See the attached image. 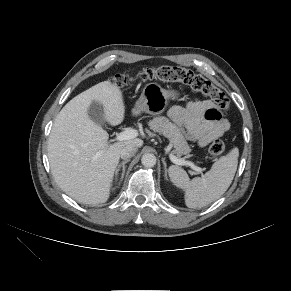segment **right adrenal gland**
Masks as SVG:
<instances>
[{
  "label": "right adrenal gland",
  "mask_w": 291,
  "mask_h": 291,
  "mask_svg": "<svg viewBox=\"0 0 291 291\" xmlns=\"http://www.w3.org/2000/svg\"><path fill=\"white\" fill-rule=\"evenodd\" d=\"M130 161V159H126V160H124L122 163H120L119 165H118V167L116 168V170H115V177H116V179H117V177H118V173H119V171H120V169L122 168V174H121V178H120V181H119V185H120V183L123 181V178H124V174H125V165H126V163H128Z\"/></svg>",
  "instance_id": "right-adrenal-gland-1"
}]
</instances>
